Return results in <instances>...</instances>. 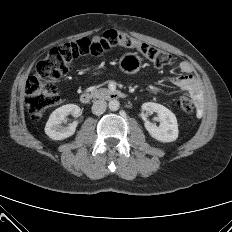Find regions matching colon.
Returning <instances> with one entry per match:
<instances>
[{
    "label": "colon",
    "mask_w": 232,
    "mask_h": 232,
    "mask_svg": "<svg viewBox=\"0 0 232 232\" xmlns=\"http://www.w3.org/2000/svg\"><path fill=\"white\" fill-rule=\"evenodd\" d=\"M131 48L138 50L143 56L158 67L172 63L173 55L146 42L137 40L129 34L108 30L93 39L83 38L67 42L52 48L37 63L25 86L24 101L33 120L58 102L56 81L67 75L82 57L101 56L113 48ZM177 105L181 111L190 114L194 105L189 93L179 97Z\"/></svg>",
    "instance_id": "5ec220e1"
}]
</instances>
